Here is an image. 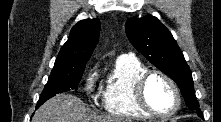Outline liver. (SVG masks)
I'll list each match as a JSON object with an SVG mask.
<instances>
[{"mask_svg":"<svg viewBox=\"0 0 221 122\" xmlns=\"http://www.w3.org/2000/svg\"><path fill=\"white\" fill-rule=\"evenodd\" d=\"M33 122H131L120 117H100L87 114L81 99L59 94L45 102L33 117Z\"/></svg>","mask_w":221,"mask_h":122,"instance_id":"obj_1","label":"liver"}]
</instances>
